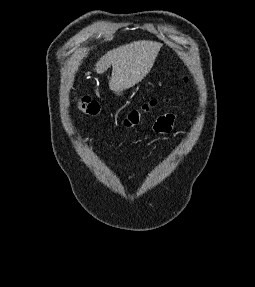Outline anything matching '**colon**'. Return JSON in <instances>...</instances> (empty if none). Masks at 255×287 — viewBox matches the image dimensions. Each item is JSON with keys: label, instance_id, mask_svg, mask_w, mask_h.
Wrapping results in <instances>:
<instances>
[{"label": "colon", "instance_id": "obj_1", "mask_svg": "<svg viewBox=\"0 0 255 287\" xmlns=\"http://www.w3.org/2000/svg\"><path fill=\"white\" fill-rule=\"evenodd\" d=\"M76 103L78 109L87 116L96 117L100 112L98 102L89 96L78 97ZM157 104L156 100H152L143 104L140 108L130 111L124 119V125L128 128L137 126L142 116L152 110Z\"/></svg>", "mask_w": 255, "mask_h": 287}]
</instances>
